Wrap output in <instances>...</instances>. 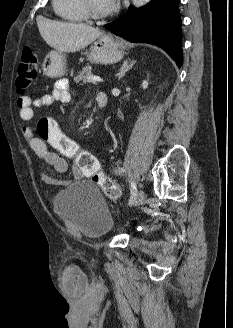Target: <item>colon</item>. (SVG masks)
<instances>
[{
	"instance_id": "obj_1",
	"label": "colon",
	"mask_w": 233,
	"mask_h": 328,
	"mask_svg": "<svg viewBox=\"0 0 233 328\" xmlns=\"http://www.w3.org/2000/svg\"><path fill=\"white\" fill-rule=\"evenodd\" d=\"M36 74V54L32 48L25 47L21 54L16 75V88L19 93L29 88L36 78ZM37 130L41 140L50 144L63 156L74 159L81 172L85 176L91 177L107 197L117 199L121 196L119 186L102 171L97 158L90 152L81 149L76 142L68 138L52 119L42 118L38 122Z\"/></svg>"
}]
</instances>
